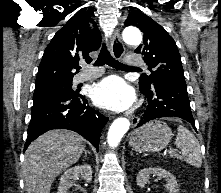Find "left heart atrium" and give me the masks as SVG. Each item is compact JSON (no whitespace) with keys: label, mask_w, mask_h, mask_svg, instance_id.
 <instances>
[{"label":"left heart atrium","mask_w":221,"mask_h":193,"mask_svg":"<svg viewBox=\"0 0 221 193\" xmlns=\"http://www.w3.org/2000/svg\"><path fill=\"white\" fill-rule=\"evenodd\" d=\"M92 99L101 108L121 112L133 104L135 95L121 77L111 76L93 87Z\"/></svg>","instance_id":"left-heart-atrium-1"}]
</instances>
